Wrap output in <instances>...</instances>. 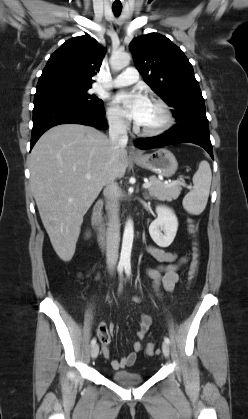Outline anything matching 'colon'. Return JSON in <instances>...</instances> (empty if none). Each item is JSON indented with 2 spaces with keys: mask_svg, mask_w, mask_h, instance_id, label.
<instances>
[{
  "mask_svg": "<svg viewBox=\"0 0 248 419\" xmlns=\"http://www.w3.org/2000/svg\"><path fill=\"white\" fill-rule=\"evenodd\" d=\"M189 229H190V232L193 235H195V236L197 235L198 228H197V224L194 221L190 222ZM199 259H200L199 242L195 241L192 261H191L189 271H188V281L190 283H192L194 281V279L196 278L198 267H199ZM107 334H108V331H107L106 328H100L99 331H98V336H99L100 341L105 340ZM155 353H156L155 344L154 343H149L146 346V354L149 355V356H152Z\"/></svg>",
  "mask_w": 248,
  "mask_h": 419,
  "instance_id": "colon-1",
  "label": "colon"
}]
</instances>
